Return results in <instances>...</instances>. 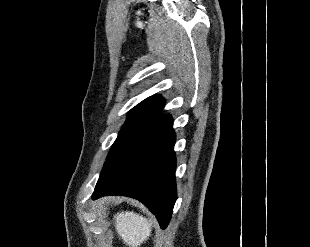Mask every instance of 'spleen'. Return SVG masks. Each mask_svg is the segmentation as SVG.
Listing matches in <instances>:
<instances>
[{"label":"spleen","instance_id":"spleen-1","mask_svg":"<svg viewBox=\"0 0 310 247\" xmlns=\"http://www.w3.org/2000/svg\"><path fill=\"white\" fill-rule=\"evenodd\" d=\"M115 228L123 243L129 247H138L143 242L148 240L152 231V223L147 218L134 213L126 211L117 213Z\"/></svg>","mask_w":310,"mask_h":247}]
</instances>
